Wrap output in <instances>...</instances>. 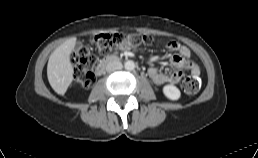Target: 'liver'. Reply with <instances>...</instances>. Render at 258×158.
I'll list each match as a JSON object with an SVG mask.
<instances>
[{
  "mask_svg": "<svg viewBox=\"0 0 258 158\" xmlns=\"http://www.w3.org/2000/svg\"><path fill=\"white\" fill-rule=\"evenodd\" d=\"M76 37H72L57 47L50 55L47 64V77L53 90L60 95L65 94L73 81V67L70 54L76 45Z\"/></svg>",
  "mask_w": 258,
  "mask_h": 158,
  "instance_id": "1",
  "label": "liver"
}]
</instances>
